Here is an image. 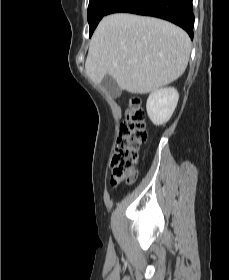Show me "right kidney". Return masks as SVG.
Masks as SVG:
<instances>
[{
	"instance_id": "right-kidney-1",
	"label": "right kidney",
	"mask_w": 229,
	"mask_h": 280,
	"mask_svg": "<svg viewBox=\"0 0 229 280\" xmlns=\"http://www.w3.org/2000/svg\"><path fill=\"white\" fill-rule=\"evenodd\" d=\"M179 99L174 88H162L152 92L146 104L150 120L154 125H162L171 118Z\"/></svg>"
}]
</instances>
